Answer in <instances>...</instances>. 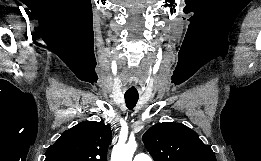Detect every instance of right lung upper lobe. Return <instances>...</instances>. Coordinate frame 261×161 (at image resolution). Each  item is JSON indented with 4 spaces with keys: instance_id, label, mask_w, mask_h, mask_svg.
I'll use <instances>...</instances> for the list:
<instances>
[{
    "instance_id": "right-lung-upper-lobe-1",
    "label": "right lung upper lobe",
    "mask_w": 261,
    "mask_h": 161,
    "mask_svg": "<svg viewBox=\"0 0 261 161\" xmlns=\"http://www.w3.org/2000/svg\"><path fill=\"white\" fill-rule=\"evenodd\" d=\"M111 139L109 126L84 121L62 133L47 149L45 161H107Z\"/></svg>"
}]
</instances>
